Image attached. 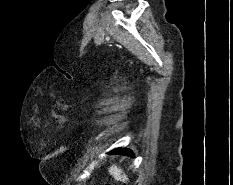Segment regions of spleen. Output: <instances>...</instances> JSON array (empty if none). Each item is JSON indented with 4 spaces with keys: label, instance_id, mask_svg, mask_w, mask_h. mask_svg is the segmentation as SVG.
<instances>
[{
    "label": "spleen",
    "instance_id": "obj_1",
    "mask_svg": "<svg viewBox=\"0 0 233 185\" xmlns=\"http://www.w3.org/2000/svg\"><path fill=\"white\" fill-rule=\"evenodd\" d=\"M108 172L110 175H112L114 177V179L116 181H120V182H127L128 181V177L123 172V170L114 164L108 168Z\"/></svg>",
    "mask_w": 233,
    "mask_h": 185
}]
</instances>
